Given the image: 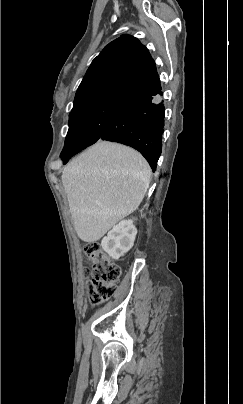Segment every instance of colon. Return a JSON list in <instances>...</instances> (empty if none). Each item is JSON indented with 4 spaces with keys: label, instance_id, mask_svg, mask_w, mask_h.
Masks as SVG:
<instances>
[{
    "label": "colon",
    "instance_id": "5ec220e1",
    "mask_svg": "<svg viewBox=\"0 0 243 404\" xmlns=\"http://www.w3.org/2000/svg\"><path fill=\"white\" fill-rule=\"evenodd\" d=\"M92 270L88 285V298L94 305H99L113 296L120 276V267L112 262L96 242L84 246Z\"/></svg>",
    "mask_w": 243,
    "mask_h": 404
}]
</instances>
